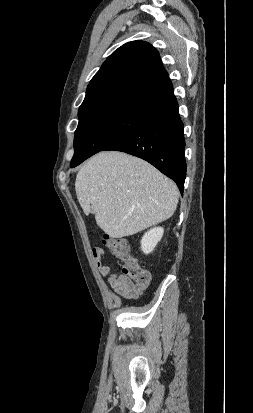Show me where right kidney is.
<instances>
[{"mask_svg":"<svg viewBox=\"0 0 253 413\" xmlns=\"http://www.w3.org/2000/svg\"><path fill=\"white\" fill-rule=\"evenodd\" d=\"M164 233L162 227H155L150 229L141 240V249L145 254L151 253L156 247L157 243L161 240Z\"/></svg>","mask_w":253,"mask_h":413,"instance_id":"ca27d5eb","label":"right kidney"}]
</instances>
